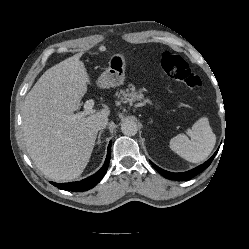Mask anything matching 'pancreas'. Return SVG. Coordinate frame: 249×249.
I'll return each mask as SVG.
<instances>
[{
  "mask_svg": "<svg viewBox=\"0 0 249 249\" xmlns=\"http://www.w3.org/2000/svg\"><path fill=\"white\" fill-rule=\"evenodd\" d=\"M144 91V89L136 91L135 86L130 85L126 90H120L119 92H116V96L123 103H129L132 105L134 102H136L140 105H145L146 103L150 102V100L144 97Z\"/></svg>",
  "mask_w": 249,
  "mask_h": 249,
  "instance_id": "obj_1",
  "label": "pancreas"
}]
</instances>
